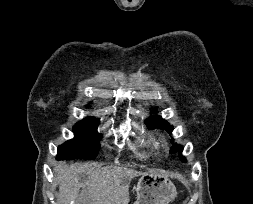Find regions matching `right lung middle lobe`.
Listing matches in <instances>:
<instances>
[{
	"mask_svg": "<svg viewBox=\"0 0 253 204\" xmlns=\"http://www.w3.org/2000/svg\"><path fill=\"white\" fill-rule=\"evenodd\" d=\"M99 121L87 117L74 126L75 137L58 147L59 159H94L99 150L100 135L96 132Z\"/></svg>",
	"mask_w": 253,
	"mask_h": 204,
	"instance_id": "right-lung-middle-lobe-1",
	"label": "right lung middle lobe"
}]
</instances>
